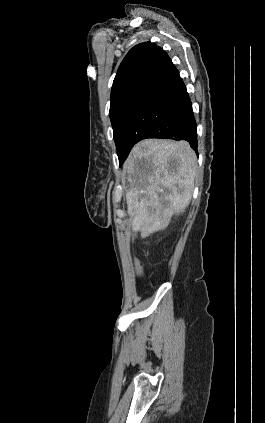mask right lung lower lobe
Instances as JSON below:
<instances>
[{
    "mask_svg": "<svg viewBox=\"0 0 265 423\" xmlns=\"http://www.w3.org/2000/svg\"><path fill=\"white\" fill-rule=\"evenodd\" d=\"M192 104L178 70L172 64L146 95L123 131L121 145L128 156L142 139L188 141L197 152V130Z\"/></svg>",
    "mask_w": 265,
    "mask_h": 423,
    "instance_id": "98d812e1",
    "label": "right lung lower lobe"
}]
</instances>
